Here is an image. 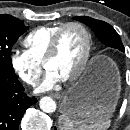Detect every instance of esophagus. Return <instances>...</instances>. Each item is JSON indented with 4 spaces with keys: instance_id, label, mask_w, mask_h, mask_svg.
Listing matches in <instances>:
<instances>
[{
    "instance_id": "1",
    "label": "esophagus",
    "mask_w": 130,
    "mask_h": 130,
    "mask_svg": "<svg viewBox=\"0 0 130 130\" xmlns=\"http://www.w3.org/2000/svg\"><path fill=\"white\" fill-rule=\"evenodd\" d=\"M51 96L55 99H60L61 98V94L60 93H52Z\"/></svg>"
}]
</instances>
